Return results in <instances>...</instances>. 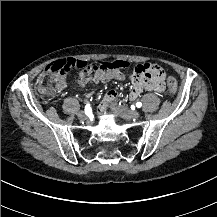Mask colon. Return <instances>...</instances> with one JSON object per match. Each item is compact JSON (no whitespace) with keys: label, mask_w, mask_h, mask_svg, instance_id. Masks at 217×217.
Segmentation results:
<instances>
[{"label":"colon","mask_w":217,"mask_h":217,"mask_svg":"<svg viewBox=\"0 0 217 217\" xmlns=\"http://www.w3.org/2000/svg\"><path fill=\"white\" fill-rule=\"evenodd\" d=\"M131 67L130 62L126 60H119L116 56H110L107 60L94 59L91 63L76 61L73 57H66L53 62L46 66L45 73L37 82V90L39 94L45 97L59 96L63 93L65 88V81L63 75H68L75 70H81L86 75L91 69L94 72L104 71H119L128 70ZM165 75L162 66L158 64H138L133 68V77L139 82L149 84H156ZM167 90L170 95H175L177 92V81L171 76L167 83Z\"/></svg>","instance_id":"5ec220e1"}]
</instances>
